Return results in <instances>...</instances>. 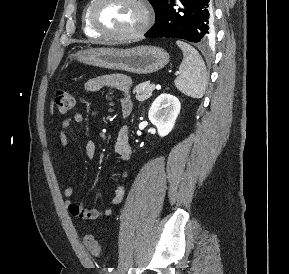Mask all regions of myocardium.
<instances>
[{
	"label": "myocardium",
	"instance_id": "f54148a6",
	"mask_svg": "<svg viewBox=\"0 0 289 274\" xmlns=\"http://www.w3.org/2000/svg\"><path fill=\"white\" fill-rule=\"evenodd\" d=\"M104 1L105 0H92L90 7H89V11H88L89 24L92 27V29L95 32H97L100 36L110 39V40H115V41H131V40L140 38L146 33V31L148 30L150 26V11L144 0H132L134 3H136L139 6L141 10L142 22L137 29H135L132 32L124 33V34H117V33L106 31L98 25L96 18H95V10L97 6Z\"/></svg>",
	"mask_w": 289,
	"mask_h": 274
}]
</instances>
